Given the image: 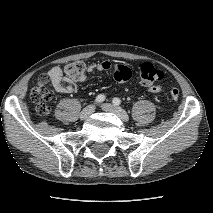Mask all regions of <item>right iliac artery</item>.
<instances>
[{
    "mask_svg": "<svg viewBox=\"0 0 213 213\" xmlns=\"http://www.w3.org/2000/svg\"><path fill=\"white\" fill-rule=\"evenodd\" d=\"M104 100H105V95L99 94V95L96 97L95 102H96V103H101V102H103Z\"/></svg>",
    "mask_w": 213,
    "mask_h": 213,
    "instance_id": "right-iliac-artery-1",
    "label": "right iliac artery"
}]
</instances>
